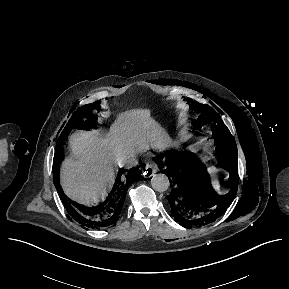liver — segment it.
I'll list each match as a JSON object with an SVG mask.
<instances>
[{
    "instance_id": "6515ba94",
    "label": "liver",
    "mask_w": 289,
    "mask_h": 289,
    "mask_svg": "<svg viewBox=\"0 0 289 289\" xmlns=\"http://www.w3.org/2000/svg\"><path fill=\"white\" fill-rule=\"evenodd\" d=\"M154 143L167 145L169 138L144 109L120 114L107 137L94 131L74 133L70 146L78 160L65 159L60 170L65 194L81 204L96 203L114 176L116 157Z\"/></svg>"
}]
</instances>
